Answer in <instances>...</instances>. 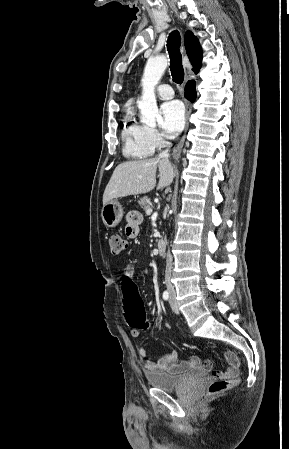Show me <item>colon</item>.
I'll return each instance as SVG.
<instances>
[{"mask_svg": "<svg viewBox=\"0 0 289 449\" xmlns=\"http://www.w3.org/2000/svg\"><path fill=\"white\" fill-rule=\"evenodd\" d=\"M110 251L113 256H120L127 249V242L120 235L114 234L109 238ZM120 290L123 291L122 303L127 310V324L133 329H147L149 324L146 320L145 311L141 297L138 296L137 283L135 279L122 274ZM214 380L208 387L211 395L221 393L237 383V378H224L213 372Z\"/></svg>", "mask_w": 289, "mask_h": 449, "instance_id": "colon-1", "label": "colon"}]
</instances>
